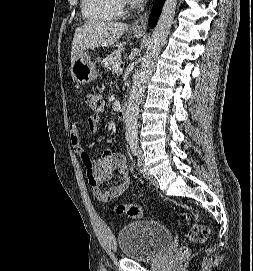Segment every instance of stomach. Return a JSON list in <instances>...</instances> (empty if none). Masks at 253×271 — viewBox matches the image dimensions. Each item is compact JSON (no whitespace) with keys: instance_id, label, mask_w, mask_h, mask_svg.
<instances>
[{"instance_id":"stomach-1","label":"stomach","mask_w":253,"mask_h":271,"mask_svg":"<svg viewBox=\"0 0 253 271\" xmlns=\"http://www.w3.org/2000/svg\"><path fill=\"white\" fill-rule=\"evenodd\" d=\"M134 36L140 38L142 34L135 33ZM71 74L77 83L86 84L95 80L99 71L96 64L92 62L91 56L84 51L71 63Z\"/></svg>"}]
</instances>
